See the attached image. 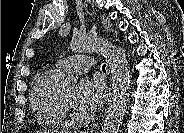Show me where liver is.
Returning <instances> with one entry per match:
<instances>
[{"mask_svg": "<svg viewBox=\"0 0 184 133\" xmlns=\"http://www.w3.org/2000/svg\"><path fill=\"white\" fill-rule=\"evenodd\" d=\"M38 133H53L52 131H47V130H41Z\"/></svg>", "mask_w": 184, "mask_h": 133, "instance_id": "obj_1", "label": "liver"}]
</instances>
